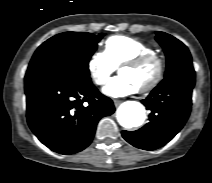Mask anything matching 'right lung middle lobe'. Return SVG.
<instances>
[{
  "label": "right lung middle lobe",
  "instance_id": "1",
  "mask_svg": "<svg viewBox=\"0 0 212 183\" xmlns=\"http://www.w3.org/2000/svg\"><path fill=\"white\" fill-rule=\"evenodd\" d=\"M104 36L86 32H64L41 44L26 74L79 75L89 77L88 62Z\"/></svg>",
  "mask_w": 212,
  "mask_h": 183
}]
</instances>
